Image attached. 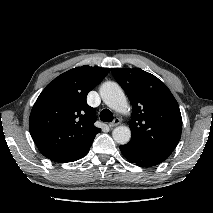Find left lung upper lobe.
<instances>
[{
	"instance_id": "1",
	"label": "left lung upper lobe",
	"mask_w": 213,
	"mask_h": 213,
	"mask_svg": "<svg viewBox=\"0 0 213 213\" xmlns=\"http://www.w3.org/2000/svg\"><path fill=\"white\" fill-rule=\"evenodd\" d=\"M111 72L132 105L130 143L170 156L181 137L182 118L168 87L139 68H112Z\"/></svg>"
}]
</instances>
